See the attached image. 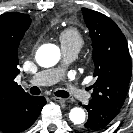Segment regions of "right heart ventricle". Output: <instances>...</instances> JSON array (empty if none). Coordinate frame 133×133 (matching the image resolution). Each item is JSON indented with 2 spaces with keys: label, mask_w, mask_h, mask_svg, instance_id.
I'll list each match as a JSON object with an SVG mask.
<instances>
[{
  "label": "right heart ventricle",
  "mask_w": 133,
  "mask_h": 133,
  "mask_svg": "<svg viewBox=\"0 0 133 133\" xmlns=\"http://www.w3.org/2000/svg\"><path fill=\"white\" fill-rule=\"evenodd\" d=\"M59 40L62 49H74L77 51L81 49L84 43L81 33L73 27L62 30L59 33Z\"/></svg>",
  "instance_id": "e07e8e85"
}]
</instances>
